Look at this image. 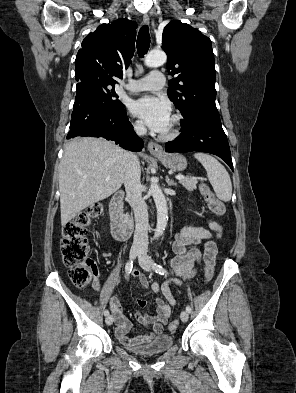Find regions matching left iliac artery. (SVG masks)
Here are the masks:
<instances>
[{"instance_id": "44dca946", "label": "left iliac artery", "mask_w": 296, "mask_h": 393, "mask_svg": "<svg viewBox=\"0 0 296 393\" xmlns=\"http://www.w3.org/2000/svg\"><path fill=\"white\" fill-rule=\"evenodd\" d=\"M152 268L155 270L156 273L160 274V275H167L168 272L158 263H152ZM186 311L188 313L191 312V307L188 305L186 307Z\"/></svg>"}]
</instances>
